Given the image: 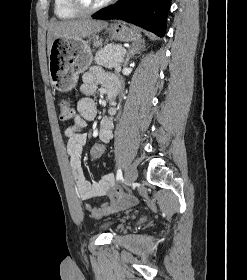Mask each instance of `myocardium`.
Here are the masks:
<instances>
[{"label":"myocardium","mask_w":247,"mask_h":280,"mask_svg":"<svg viewBox=\"0 0 247 280\" xmlns=\"http://www.w3.org/2000/svg\"><path fill=\"white\" fill-rule=\"evenodd\" d=\"M114 0H105L96 6H88L82 0H69L71 7L78 13L90 14L109 6Z\"/></svg>","instance_id":"myocardium-1"}]
</instances>
